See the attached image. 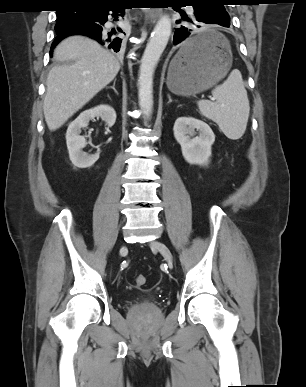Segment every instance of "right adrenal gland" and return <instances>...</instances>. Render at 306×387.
Returning a JSON list of instances; mask_svg holds the SVG:
<instances>
[{"mask_svg": "<svg viewBox=\"0 0 306 387\" xmlns=\"http://www.w3.org/2000/svg\"><path fill=\"white\" fill-rule=\"evenodd\" d=\"M115 83H116V80H114L113 86H111L110 88L113 89L116 94H118L117 90L115 89Z\"/></svg>", "mask_w": 306, "mask_h": 387, "instance_id": "right-adrenal-gland-1", "label": "right adrenal gland"}]
</instances>
